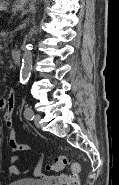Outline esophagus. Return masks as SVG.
I'll return each instance as SVG.
<instances>
[{
    "instance_id": "esophagus-1",
    "label": "esophagus",
    "mask_w": 119,
    "mask_h": 185,
    "mask_svg": "<svg viewBox=\"0 0 119 185\" xmlns=\"http://www.w3.org/2000/svg\"><path fill=\"white\" fill-rule=\"evenodd\" d=\"M26 0H17V4H23Z\"/></svg>"
}]
</instances>
